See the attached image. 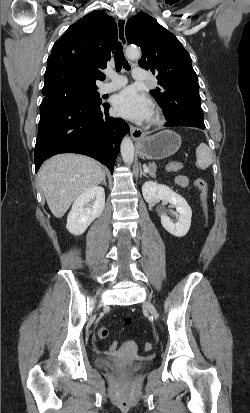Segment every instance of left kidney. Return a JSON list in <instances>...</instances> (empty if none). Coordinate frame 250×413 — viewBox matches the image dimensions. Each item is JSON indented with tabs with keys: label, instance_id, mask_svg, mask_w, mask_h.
Wrapping results in <instances>:
<instances>
[{
	"label": "left kidney",
	"instance_id": "obj_1",
	"mask_svg": "<svg viewBox=\"0 0 250 413\" xmlns=\"http://www.w3.org/2000/svg\"><path fill=\"white\" fill-rule=\"evenodd\" d=\"M142 194L148 203L163 200L173 205L179 213L178 220L173 222L168 216L162 214L161 224L173 236L183 237L187 234L191 225L192 210L182 196L168 186L153 181H146L143 184Z\"/></svg>",
	"mask_w": 250,
	"mask_h": 413
}]
</instances>
